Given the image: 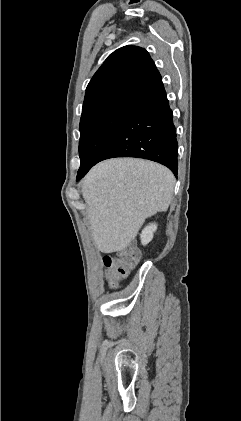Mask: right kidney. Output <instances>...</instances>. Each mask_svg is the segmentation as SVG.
I'll return each mask as SVG.
<instances>
[{"instance_id":"ca27d5eb","label":"right kidney","mask_w":241,"mask_h":421,"mask_svg":"<svg viewBox=\"0 0 241 421\" xmlns=\"http://www.w3.org/2000/svg\"><path fill=\"white\" fill-rule=\"evenodd\" d=\"M157 225L152 223L146 226L140 234L141 243L147 245L153 239V233L156 231Z\"/></svg>"}]
</instances>
